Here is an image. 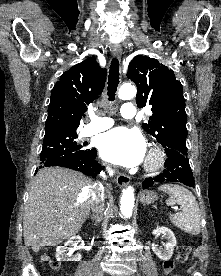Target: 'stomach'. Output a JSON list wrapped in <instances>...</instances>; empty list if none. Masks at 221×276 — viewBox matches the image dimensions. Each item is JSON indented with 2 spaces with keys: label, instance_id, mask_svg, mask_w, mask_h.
Returning a JSON list of instances; mask_svg holds the SVG:
<instances>
[{
  "label": "stomach",
  "instance_id": "1",
  "mask_svg": "<svg viewBox=\"0 0 221 276\" xmlns=\"http://www.w3.org/2000/svg\"><path fill=\"white\" fill-rule=\"evenodd\" d=\"M157 200V194L154 191H146L141 194L140 201L142 204H151Z\"/></svg>",
  "mask_w": 221,
  "mask_h": 276
}]
</instances>
